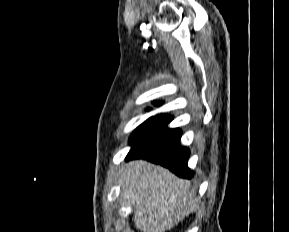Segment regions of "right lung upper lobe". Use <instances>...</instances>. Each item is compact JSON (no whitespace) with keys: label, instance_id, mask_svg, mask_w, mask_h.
<instances>
[{"label":"right lung upper lobe","instance_id":"cb5924a9","mask_svg":"<svg viewBox=\"0 0 289 232\" xmlns=\"http://www.w3.org/2000/svg\"><path fill=\"white\" fill-rule=\"evenodd\" d=\"M154 104H155L156 106H159V105H161V102H154Z\"/></svg>","mask_w":289,"mask_h":232}]
</instances>
